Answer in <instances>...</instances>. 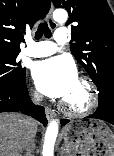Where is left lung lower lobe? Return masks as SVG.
Returning <instances> with one entry per match:
<instances>
[{
  "label": "left lung lower lobe",
  "mask_w": 114,
  "mask_h": 156,
  "mask_svg": "<svg viewBox=\"0 0 114 156\" xmlns=\"http://www.w3.org/2000/svg\"><path fill=\"white\" fill-rule=\"evenodd\" d=\"M87 118L101 119L114 125V90L109 91L104 99H99L97 110ZM68 122L69 120L66 119L61 120V124L63 125Z\"/></svg>",
  "instance_id": "left-lung-lower-lobe-1"
}]
</instances>
